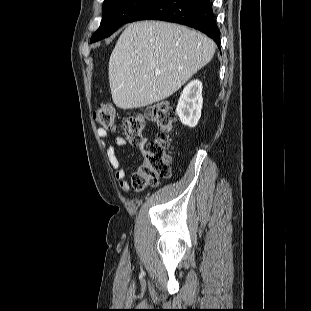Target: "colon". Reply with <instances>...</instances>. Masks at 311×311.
Segmentation results:
<instances>
[{
	"label": "colon",
	"mask_w": 311,
	"mask_h": 311,
	"mask_svg": "<svg viewBox=\"0 0 311 311\" xmlns=\"http://www.w3.org/2000/svg\"><path fill=\"white\" fill-rule=\"evenodd\" d=\"M175 117V111L169 103L159 102L148 107L143 114H132L123 118L121 128L133 144L142 141L146 120L155 123L160 132L159 136L147 145L142 161L132 176L131 183L135 190H143L170 175L168 144ZM94 120L104 128H114L116 124L114 107L109 103H101L94 112Z\"/></svg>",
	"instance_id": "5ec220e1"
}]
</instances>
